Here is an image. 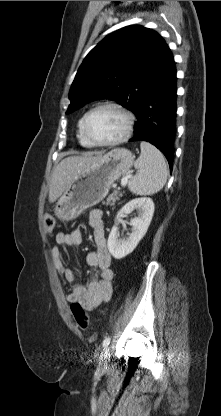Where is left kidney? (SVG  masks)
<instances>
[{"label":"left kidney","mask_w":221,"mask_h":416,"mask_svg":"<svg viewBox=\"0 0 221 416\" xmlns=\"http://www.w3.org/2000/svg\"><path fill=\"white\" fill-rule=\"evenodd\" d=\"M138 210V217L131 219L132 233L126 239H118L117 222L124 214H130ZM154 213V203L150 198H136L126 203L115 218L108 237V250L115 259H121L130 254L146 234Z\"/></svg>","instance_id":"left-kidney-1"}]
</instances>
